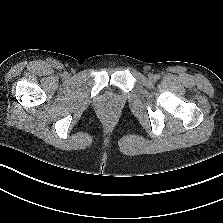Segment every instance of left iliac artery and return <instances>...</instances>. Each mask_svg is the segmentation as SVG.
Here are the masks:
<instances>
[{
	"label": "left iliac artery",
	"mask_w": 223,
	"mask_h": 223,
	"mask_svg": "<svg viewBox=\"0 0 223 223\" xmlns=\"http://www.w3.org/2000/svg\"><path fill=\"white\" fill-rule=\"evenodd\" d=\"M160 78V75H155V79H159Z\"/></svg>",
	"instance_id": "left-iliac-artery-1"
}]
</instances>
